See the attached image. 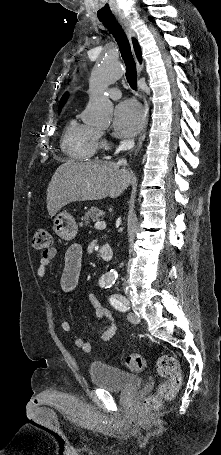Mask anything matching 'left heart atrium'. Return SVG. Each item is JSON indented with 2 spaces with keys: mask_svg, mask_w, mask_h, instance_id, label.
<instances>
[{
  "mask_svg": "<svg viewBox=\"0 0 221 455\" xmlns=\"http://www.w3.org/2000/svg\"><path fill=\"white\" fill-rule=\"evenodd\" d=\"M144 114L140 106L131 101L120 103L114 110L113 130L118 137H132L142 128Z\"/></svg>",
  "mask_w": 221,
  "mask_h": 455,
  "instance_id": "1",
  "label": "left heart atrium"
}]
</instances>
